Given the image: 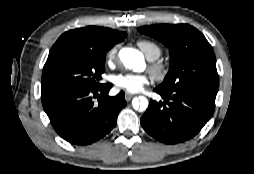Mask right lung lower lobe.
I'll return each mask as SVG.
<instances>
[{
  "mask_svg": "<svg viewBox=\"0 0 254 174\" xmlns=\"http://www.w3.org/2000/svg\"><path fill=\"white\" fill-rule=\"evenodd\" d=\"M112 84L75 89L42 97L44 111L55 131L74 145H88L108 134L126 105L124 92L109 97Z\"/></svg>",
  "mask_w": 254,
  "mask_h": 174,
  "instance_id": "obj_1",
  "label": "right lung lower lobe"
}]
</instances>
